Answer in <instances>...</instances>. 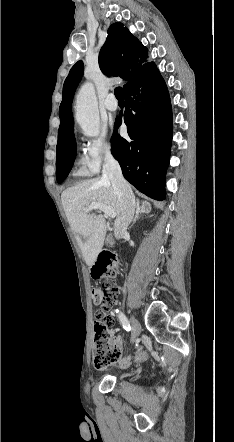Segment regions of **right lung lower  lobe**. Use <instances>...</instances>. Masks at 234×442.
Returning a JSON list of instances; mask_svg holds the SVG:
<instances>
[{
  "instance_id": "98d812e1",
  "label": "right lung lower lobe",
  "mask_w": 234,
  "mask_h": 442,
  "mask_svg": "<svg viewBox=\"0 0 234 442\" xmlns=\"http://www.w3.org/2000/svg\"><path fill=\"white\" fill-rule=\"evenodd\" d=\"M124 96L126 109L123 118L115 121L112 154L126 180L147 196L164 200L172 110L167 87L156 66L133 78L124 89ZM122 121L127 125L130 139L116 132Z\"/></svg>"
}]
</instances>
